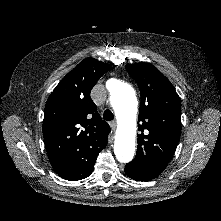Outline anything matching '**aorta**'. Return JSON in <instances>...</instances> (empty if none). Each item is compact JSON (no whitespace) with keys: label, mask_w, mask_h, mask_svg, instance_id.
<instances>
[{"label":"aorta","mask_w":221,"mask_h":221,"mask_svg":"<svg viewBox=\"0 0 221 221\" xmlns=\"http://www.w3.org/2000/svg\"><path fill=\"white\" fill-rule=\"evenodd\" d=\"M110 101L119 118L114 152L118 161L127 163L133 159L135 152L137 111L135 90L127 83H118L111 91Z\"/></svg>","instance_id":"762f6f07"}]
</instances>
